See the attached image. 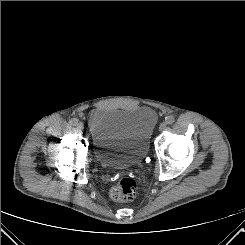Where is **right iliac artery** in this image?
I'll return each instance as SVG.
<instances>
[{"mask_svg":"<svg viewBox=\"0 0 245 245\" xmlns=\"http://www.w3.org/2000/svg\"><path fill=\"white\" fill-rule=\"evenodd\" d=\"M78 120L75 118H72L69 120L70 125L75 126L77 124Z\"/></svg>","mask_w":245,"mask_h":245,"instance_id":"82829eb1","label":"right iliac artery"}]
</instances>
